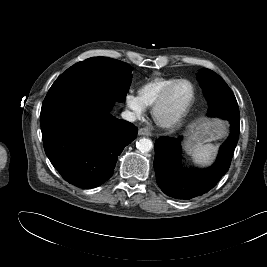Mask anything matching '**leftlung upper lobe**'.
<instances>
[{
    "label": "left lung upper lobe",
    "instance_id": "1",
    "mask_svg": "<svg viewBox=\"0 0 267 267\" xmlns=\"http://www.w3.org/2000/svg\"><path fill=\"white\" fill-rule=\"evenodd\" d=\"M197 79L209 104V116L218 111H227L233 106H238L231 89L215 72L209 69H202L198 73Z\"/></svg>",
    "mask_w": 267,
    "mask_h": 267
}]
</instances>
